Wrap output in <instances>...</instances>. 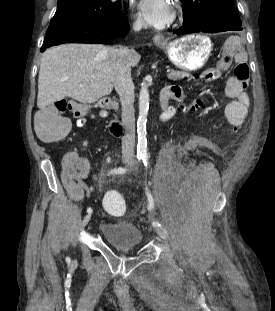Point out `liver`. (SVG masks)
<instances>
[{"mask_svg":"<svg viewBox=\"0 0 275 311\" xmlns=\"http://www.w3.org/2000/svg\"><path fill=\"white\" fill-rule=\"evenodd\" d=\"M112 50L97 44H66L46 50L38 77V108L43 110L65 97L91 104L109 95L115 82ZM140 59L139 53L130 51L132 67Z\"/></svg>","mask_w":275,"mask_h":311,"instance_id":"liver-1","label":"liver"}]
</instances>
